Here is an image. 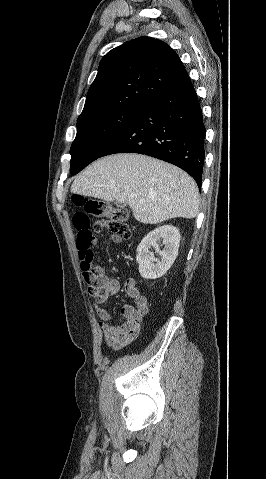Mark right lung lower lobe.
<instances>
[{
    "label": "right lung lower lobe",
    "mask_w": 266,
    "mask_h": 479,
    "mask_svg": "<svg viewBox=\"0 0 266 479\" xmlns=\"http://www.w3.org/2000/svg\"><path fill=\"white\" fill-rule=\"evenodd\" d=\"M205 134L197 94L188 80L153 99L100 157L123 152L149 155L185 170L201 189Z\"/></svg>",
    "instance_id": "98d812e1"
}]
</instances>
